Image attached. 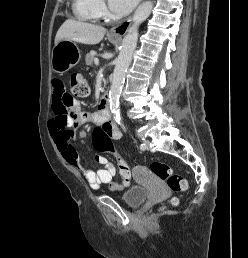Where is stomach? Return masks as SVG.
Segmentation results:
<instances>
[{"label":"stomach","mask_w":248,"mask_h":258,"mask_svg":"<svg viewBox=\"0 0 248 258\" xmlns=\"http://www.w3.org/2000/svg\"><path fill=\"white\" fill-rule=\"evenodd\" d=\"M81 53L74 41L62 40L52 50L51 67L56 73L63 74L75 66Z\"/></svg>","instance_id":"stomach-1"}]
</instances>
